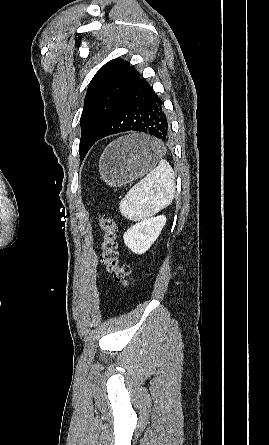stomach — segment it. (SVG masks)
Masks as SVG:
<instances>
[{
    "label": "stomach",
    "mask_w": 269,
    "mask_h": 445,
    "mask_svg": "<svg viewBox=\"0 0 269 445\" xmlns=\"http://www.w3.org/2000/svg\"><path fill=\"white\" fill-rule=\"evenodd\" d=\"M162 151L159 142L146 136L122 137L104 150L99 161L100 176L109 186H123L150 171Z\"/></svg>",
    "instance_id": "0dacf381"
}]
</instances>
